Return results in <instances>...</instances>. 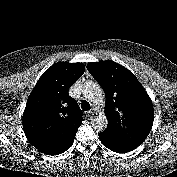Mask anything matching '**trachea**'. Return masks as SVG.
Returning <instances> with one entry per match:
<instances>
[{
  "label": "trachea",
  "mask_w": 177,
  "mask_h": 177,
  "mask_svg": "<svg viewBox=\"0 0 177 177\" xmlns=\"http://www.w3.org/2000/svg\"><path fill=\"white\" fill-rule=\"evenodd\" d=\"M81 108L84 111H88V110H90V104L86 100H83L81 103Z\"/></svg>",
  "instance_id": "3493384b"
}]
</instances>
